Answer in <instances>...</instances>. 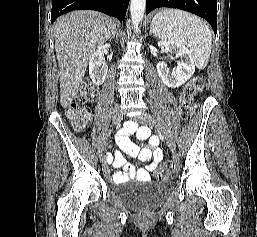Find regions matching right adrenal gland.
Returning a JSON list of instances; mask_svg holds the SVG:
<instances>
[{
  "label": "right adrenal gland",
  "instance_id": "right-adrenal-gland-1",
  "mask_svg": "<svg viewBox=\"0 0 257 237\" xmlns=\"http://www.w3.org/2000/svg\"><path fill=\"white\" fill-rule=\"evenodd\" d=\"M117 36H118V31H117V29H116L115 32H114V34H113V36H112V38L117 37Z\"/></svg>",
  "mask_w": 257,
  "mask_h": 237
}]
</instances>
